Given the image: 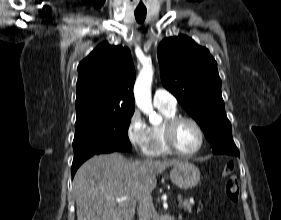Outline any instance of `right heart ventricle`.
<instances>
[{
    "label": "right heart ventricle",
    "instance_id": "obj_1",
    "mask_svg": "<svg viewBox=\"0 0 281 220\" xmlns=\"http://www.w3.org/2000/svg\"><path fill=\"white\" fill-rule=\"evenodd\" d=\"M161 114L164 117V123L176 116V110L175 109H167L162 107H157ZM164 123L161 125H153L149 127V143L147 146V149L145 151V154L150 157H161V156H167L172 154V152L167 148L164 137H163V126Z\"/></svg>",
    "mask_w": 281,
    "mask_h": 220
}]
</instances>
